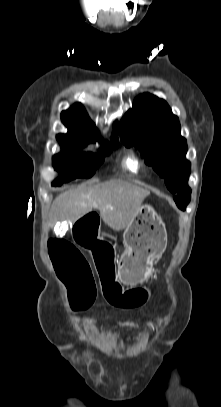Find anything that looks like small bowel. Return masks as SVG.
I'll use <instances>...</instances> for the list:
<instances>
[{
	"label": "small bowel",
	"instance_id": "obj_1",
	"mask_svg": "<svg viewBox=\"0 0 221 407\" xmlns=\"http://www.w3.org/2000/svg\"><path fill=\"white\" fill-rule=\"evenodd\" d=\"M156 322H159V320H156ZM117 324L120 325V326L132 327L137 331V334L135 336L130 337L128 339V342L138 341L144 335V331L141 329V327L136 322H133V321H118Z\"/></svg>",
	"mask_w": 221,
	"mask_h": 407
}]
</instances>
